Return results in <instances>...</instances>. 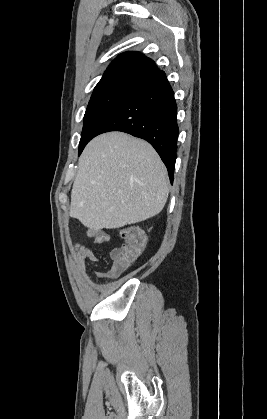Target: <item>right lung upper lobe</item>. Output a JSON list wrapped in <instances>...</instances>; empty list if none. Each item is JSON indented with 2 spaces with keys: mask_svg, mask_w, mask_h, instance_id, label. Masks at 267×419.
<instances>
[{
  "mask_svg": "<svg viewBox=\"0 0 267 419\" xmlns=\"http://www.w3.org/2000/svg\"><path fill=\"white\" fill-rule=\"evenodd\" d=\"M159 72L154 62L139 52L120 54L108 66L93 94L133 91Z\"/></svg>",
  "mask_w": 267,
  "mask_h": 419,
  "instance_id": "right-lung-upper-lobe-1",
  "label": "right lung upper lobe"
}]
</instances>
